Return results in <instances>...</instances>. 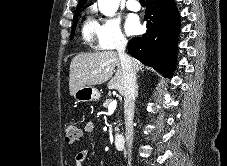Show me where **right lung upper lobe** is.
<instances>
[{"instance_id": "1", "label": "right lung upper lobe", "mask_w": 227, "mask_h": 166, "mask_svg": "<svg viewBox=\"0 0 227 166\" xmlns=\"http://www.w3.org/2000/svg\"><path fill=\"white\" fill-rule=\"evenodd\" d=\"M87 0H79L78 6L77 7H82Z\"/></svg>"}]
</instances>
